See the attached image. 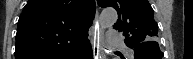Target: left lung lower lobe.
I'll list each match as a JSON object with an SVG mask.
<instances>
[{
  "instance_id": "obj_1",
  "label": "left lung lower lobe",
  "mask_w": 193,
  "mask_h": 59,
  "mask_svg": "<svg viewBox=\"0 0 193 59\" xmlns=\"http://www.w3.org/2000/svg\"><path fill=\"white\" fill-rule=\"evenodd\" d=\"M133 49L135 59H162L163 57L158 45L147 46L145 43H141Z\"/></svg>"
}]
</instances>
